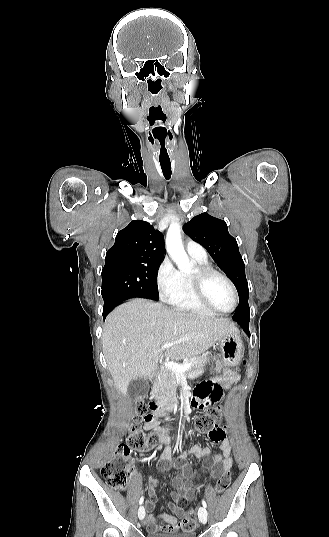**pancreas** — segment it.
Wrapping results in <instances>:
<instances>
[{
	"instance_id": "pancreas-1",
	"label": "pancreas",
	"mask_w": 329,
	"mask_h": 537,
	"mask_svg": "<svg viewBox=\"0 0 329 537\" xmlns=\"http://www.w3.org/2000/svg\"><path fill=\"white\" fill-rule=\"evenodd\" d=\"M207 357L206 354H203L199 357L189 359L191 363V368L184 372V375L188 378L197 376L200 371L203 369L206 363ZM177 375L171 369H167L162 373L160 378L153 385V392L161 397L173 401L176 397L175 387H176Z\"/></svg>"
}]
</instances>
